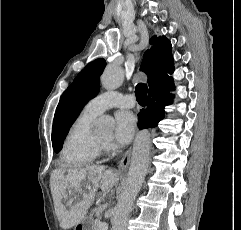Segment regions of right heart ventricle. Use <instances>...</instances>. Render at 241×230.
Wrapping results in <instances>:
<instances>
[{"label": "right heart ventricle", "instance_id": "e07e8e85", "mask_svg": "<svg viewBox=\"0 0 241 230\" xmlns=\"http://www.w3.org/2000/svg\"><path fill=\"white\" fill-rule=\"evenodd\" d=\"M96 117L83 110L69 127L61 151L65 165H86L99 156L91 141V127Z\"/></svg>", "mask_w": 241, "mask_h": 230}]
</instances>
